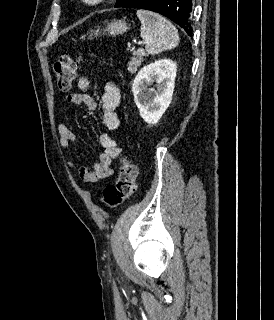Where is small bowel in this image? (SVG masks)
<instances>
[{"instance_id":"obj_1","label":"small bowel","mask_w":274,"mask_h":320,"mask_svg":"<svg viewBox=\"0 0 274 320\" xmlns=\"http://www.w3.org/2000/svg\"><path fill=\"white\" fill-rule=\"evenodd\" d=\"M92 80L88 75H81L77 80V87L81 92L71 93L63 99L64 110L69 111V106L82 104L87 110L96 109L94 98L84 91L91 86ZM121 95L119 88L111 81L105 84L104 92L101 97V116L103 124L109 130H116L121 125V115L118 112ZM58 133L62 147L67 150L72 149V145L77 143V137L74 132L65 124L58 125ZM100 145L103 148L98 161L94 164L93 170L78 165L71 159L66 161L68 168L74 170L80 178L87 183H95L113 173L112 161L122 154V149L118 146L115 139L109 134H101L99 137Z\"/></svg>"}]
</instances>
